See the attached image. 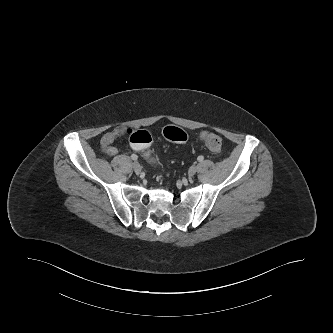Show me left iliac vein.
Segmentation results:
<instances>
[{"instance_id":"4c4485c4","label":"left iliac vein","mask_w":333,"mask_h":333,"mask_svg":"<svg viewBox=\"0 0 333 333\" xmlns=\"http://www.w3.org/2000/svg\"><path fill=\"white\" fill-rule=\"evenodd\" d=\"M196 172H197V167L196 166H191L188 170V175L193 176V175L196 174Z\"/></svg>"}]
</instances>
